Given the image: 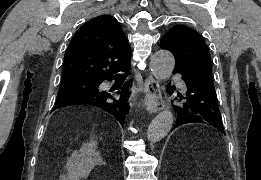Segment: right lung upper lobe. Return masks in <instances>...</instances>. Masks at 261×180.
<instances>
[{"label":"right lung upper lobe","mask_w":261,"mask_h":180,"mask_svg":"<svg viewBox=\"0 0 261 180\" xmlns=\"http://www.w3.org/2000/svg\"><path fill=\"white\" fill-rule=\"evenodd\" d=\"M131 58L130 46L118 21L108 15L83 24L64 56L62 81H104L124 71Z\"/></svg>","instance_id":"1"}]
</instances>
